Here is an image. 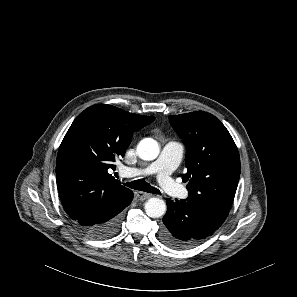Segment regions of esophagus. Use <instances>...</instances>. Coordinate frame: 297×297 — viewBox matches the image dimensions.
<instances>
[{"mask_svg":"<svg viewBox=\"0 0 297 297\" xmlns=\"http://www.w3.org/2000/svg\"><path fill=\"white\" fill-rule=\"evenodd\" d=\"M135 195L138 198V200H140V201L147 200V199H149L150 197L153 196L152 194L145 193V192H142V191L136 192Z\"/></svg>","mask_w":297,"mask_h":297,"instance_id":"34e87169","label":"esophagus"}]
</instances>
